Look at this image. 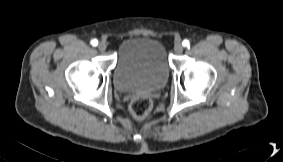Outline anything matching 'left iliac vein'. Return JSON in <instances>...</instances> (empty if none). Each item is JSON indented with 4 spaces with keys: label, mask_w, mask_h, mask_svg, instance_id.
I'll list each match as a JSON object with an SVG mask.
<instances>
[{
    "label": "left iliac vein",
    "mask_w": 283,
    "mask_h": 162,
    "mask_svg": "<svg viewBox=\"0 0 283 162\" xmlns=\"http://www.w3.org/2000/svg\"><path fill=\"white\" fill-rule=\"evenodd\" d=\"M174 51L176 54H181L183 51V45L180 42L176 43L174 46Z\"/></svg>",
    "instance_id": "left-iliac-vein-1"
}]
</instances>
